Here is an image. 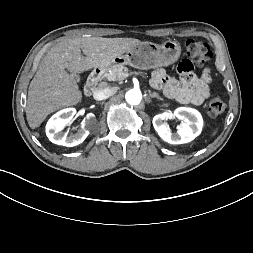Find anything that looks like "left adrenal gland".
I'll list each match as a JSON object with an SVG mask.
<instances>
[{
	"label": "left adrenal gland",
	"mask_w": 253,
	"mask_h": 253,
	"mask_svg": "<svg viewBox=\"0 0 253 253\" xmlns=\"http://www.w3.org/2000/svg\"><path fill=\"white\" fill-rule=\"evenodd\" d=\"M149 96H150L151 98H157V99L163 101V98H161V97L159 96V94H157L156 92L152 93L151 91H149Z\"/></svg>",
	"instance_id": "1"
}]
</instances>
